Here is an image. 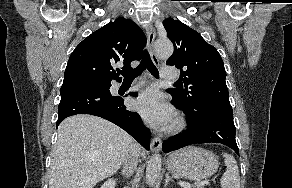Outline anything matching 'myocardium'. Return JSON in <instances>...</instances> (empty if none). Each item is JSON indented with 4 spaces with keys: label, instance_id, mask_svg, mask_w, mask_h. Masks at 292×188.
Wrapping results in <instances>:
<instances>
[{
    "label": "myocardium",
    "instance_id": "1",
    "mask_svg": "<svg viewBox=\"0 0 292 188\" xmlns=\"http://www.w3.org/2000/svg\"><path fill=\"white\" fill-rule=\"evenodd\" d=\"M184 127H185V121L183 118L179 117L175 120V122L172 126V129H173V131L178 132V131L183 130Z\"/></svg>",
    "mask_w": 292,
    "mask_h": 188
}]
</instances>
